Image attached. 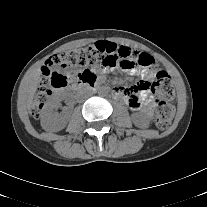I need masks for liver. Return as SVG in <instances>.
I'll use <instances>...</instances> for the list:
<instances>
[{"instance_id":"liver-1","label":"liver","mask_w":207,"mask_h":207,"mask_svg":"<svg viewBox=\"0 0 207 207\" xmlns=\"http://www.w3.org/2000/svg\"><path fill=\"white\" fill-rule=\"evenodd\" d=\"M40 75L41 71L39 69L34 70L24 84L22 95L28 108H31L33 105L34 97L40 82Z\"/></svg>"}]
</instances>
